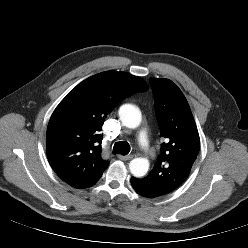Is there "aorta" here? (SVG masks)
Returning <instances> with one entry per match:
<instances>
[{
  "instance_id": "762f6f07",
  "label": "aorta",
  "mask_w": 248,
  "mask_h": 248,
  "mask_svg": "<svg viewBox=\"0 0 248 248\" xmlns=\"http://www.w3.org/2000/svg\"><path fill=\"white\" fill-rule=\"evenodd\" d=\"M119 117L123 124L130 129L137 128L141 123V112L132 104H124L119 109ZM130 172L135 177L146 175L149 169V161L146 158H135L129 163Z\"/></svg>"
}]
</instances>
